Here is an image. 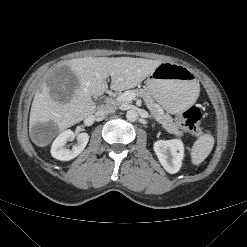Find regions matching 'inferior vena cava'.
<instances>
[{
    "mask_svg": "<svg viewBox=\"0 0 247 247\" xmlns=\"http://www.w3.org/2000/svg\"><path fill=\"white\" fill-rule=\"evenodd\" d=\"M115 111H116V108L112 105H109V104L100 105V106H98V108L95 112V116L102 117V116H106L108 114H112Z\"/></svg>",
    "mask_w": 247,
    "mask_h": 247,
    "instance_id": "1",
    "label": "inferior vena cava"
}]
</instances>
